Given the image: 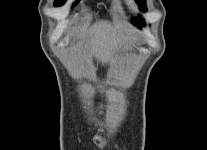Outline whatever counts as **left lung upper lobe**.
<instances>
[{
  "label": "left lung upper lobe",
  "instance_id": "obj_1",
  "mask_svg": "<svg viewBox=\"0 0 207 150\" xmlns=\"http://www.w3.org/2000/svg\"><path fill=\"white\" fill-rule=\"evenodd\" d=\"M136 2L138 3L139 9L141 11L145 12L147 10V8L145 7V0H136ZM142 22L143 19L140 16H138V19L137 18L132 19V23H137L138 26H141Z\"/></svg>",
  "mask_w": 207,
  "mask_h": 150
}]
</instances>
